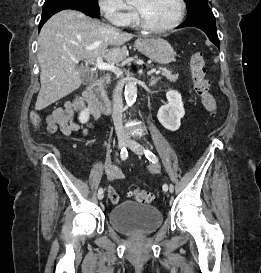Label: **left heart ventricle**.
Returning a JSON list of instances; mask_svg holds the SVG:
<instances>
[{
    "label": "left heart ventricle",
    "instance_id": "b2bd125f",
    "mask_svg": "<svg viewBox=\"0 0 261 273\" xmlns=\"http://www.w3.org/2000/svg\"><path fill=\"white\" fill-rule=\"evenodd\" d=\"M134 7L141 10L147 21L154 27L172 24L180 11L177 0H136Z\"/></svg>",
    "mask_w": 261,
    "mask_h": 273
}]
</instances>
